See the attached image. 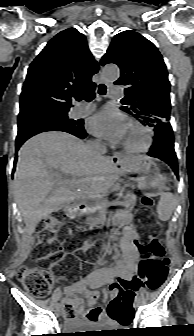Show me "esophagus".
<instances>
[{"label":"esophagus","mask_w":194,"mask_h":336,"mask_svg":"<svg viewBox=\"0 0 194 336\" xmlns=\"http://www.w3.org/2000/svg\"><path fill=\"white\" fill-rule=\"evenodd\" d=\"M99 83H100V84H107V82H106L102 77H100V79H99ZM120 157H121V154H120L119 152H116V153L113 154L112 161H113V162H116V161H118V159H119Z\"/></svg>","instance_id":"1"}]
</instances>
